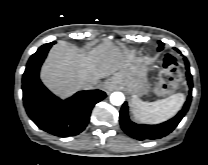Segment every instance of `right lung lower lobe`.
I'll return each instance as SVG.
<instances>
[{
    "instance_id": "98d812e1",
    "label": "right lung lower lobe",
    "mask_w": 208,
    "mask_h": 165,
    "mask_svg": "<svg viewBox=\"0 0 208 165\" xmlns=\"http://www.w3.org/2000/svg\"><path fill=\"white\" fill-rule=\"evenodd\" d=\"M55 42L41 46L34 53L22 78L23 103L30 119L42 130L60 137L82 132L90 118L94 105L106 97L101 90L79 91L61 100L40 81V67Z\"/></svg>"
}]
</instances>
